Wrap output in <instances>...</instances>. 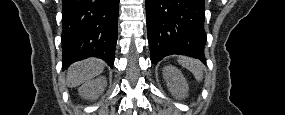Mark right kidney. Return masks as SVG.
<instances>
[{"label":"right kidney","instance_id":"1","mask_svg":"<svg viewBox=\"0 0 285 115\" xmlns=\"http://www.w3.org/2000/svg\"><path fill=\"white\" fill-rule=\"evenodd\" d=\"M107 80L104 76H101L95 80H89L85 82L79 89V95L85 99L97 98L105 89Z\"/></svg>","mask_w":285,"mask_h":115}]
</instances>
